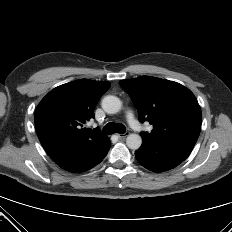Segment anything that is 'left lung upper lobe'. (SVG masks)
I'll list each match as a JSON object with an SVG mask.
<instances>
[{"mask_svg":"<svg viewBox=\"0 0 232 232\" xmlns=\"http://www.w3.org/2000/svg\"><path fill=\"white\" fill-rule=\"evenodd\" d=\"M138 109L141 122L148 121L153 130L141 132L143 139L157 143H196L202 114L194 94L183 85L151 76L121 80Z\"/></svg>","mask_w":232,"mask_h":232,"instance_id":"left-lung-upper-lobe-1","label":"left lung upper lobe"}]
</instances>
